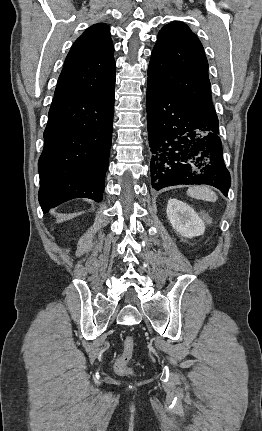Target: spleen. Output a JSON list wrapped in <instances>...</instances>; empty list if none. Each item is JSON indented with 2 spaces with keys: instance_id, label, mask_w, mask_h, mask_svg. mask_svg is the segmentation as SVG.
Here are the masks:
<instances>
[{
  "instance_id": "1",
  "label": "spleen",
  "mask_w": 262,
  "mask_h": 431,
  "mask_svg": "<svg viewBox=\"0 0 262 431\" xmlns=\"http://www.w3.org/2000/svg\"><path fill=\"white\" fill-rule=\"evenodd\" d=\"M187 195L204 201L215 202L218 197L211 189L205 186H193L187 190Z\"/></svg>"
}]
</instances>
